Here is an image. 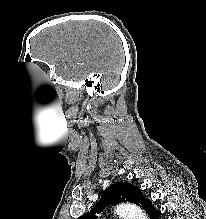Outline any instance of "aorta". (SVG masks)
I'll return each mask as SVG.
<instances>
[{"mask_svg": "<svg viewBox=\"0 0 206 219\" xmlns=\"http://www.w3.org/2000/svg\"><path fill=\"white\" fill-rule=\"evenodd\" d=\"M116 213L123 219H148L147 215L138 206L131 203L117 205Z\"/></svg>", "mask_w": 206, "mask_h": 219, "instance_id": "1", "label": "aorta"}]
</instances>
